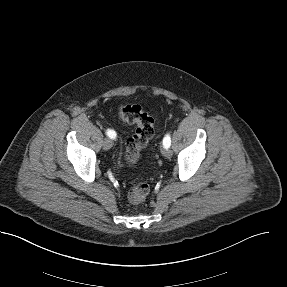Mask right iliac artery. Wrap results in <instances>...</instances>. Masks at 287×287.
Wrapping results in <instances>:
<instances>
[{
	"instance_id": "obj_1",
	"label": "right iliac artery",
	"mask_w": 287,
	"mask_h": 287,
	"mask_svg": "<svg viewBox=\"0 0 287 287\" xmlns=\"http://www.w3.org/2000/svg\"><path fill=\"white\" fill-rule=\"evenodd\" d=\"M106 133H107V136L111 139H114L116 137L115 131H113L111 129H108Z\"/></svg>"
}]
</instances>
